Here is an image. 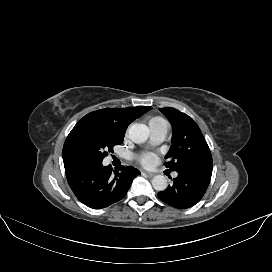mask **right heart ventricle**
<instances>
[{
    "label": "right heart ventricle",
    "mask_w": 272,
    "mask_h": 272,
    "mask_svg": "<svg viewBox=\"0 0 272 272\" xmlns=\"http://www.w3.org/2000/svg\"><path fill=\"white\" fill-rule=\"evenodd\" d=\"M165 122L162 118L160 117H153L149 120V127L151 126H156L159 125L161 123Z\"/></svg>",
    "instance_id": "obj_1"
}]
</instances>
